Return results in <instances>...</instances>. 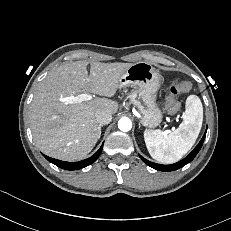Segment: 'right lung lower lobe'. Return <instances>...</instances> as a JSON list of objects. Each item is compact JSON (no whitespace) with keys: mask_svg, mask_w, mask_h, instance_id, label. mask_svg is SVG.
<instances>
[{"mask_svg":"<svg viewBox=\"0 0 231 231\" xmlns=\"http://www.w3.org/2000/svg\"><path fill=\"white\" fill-rule=\"evenodd\" d=\"M102 148H103V144L100 147V149L94 155H92L91 157H89V158H87L85 160L79 161V162H66V161H61V160H57V159H54V158H50L48 156H45V158L49 162L55 164L56 166H58V167H60L62 169H65V170H78V169H82V168L92 164L99 157V155L101 154Z\"/></svg>","mask_w":231,"mask_h":231,"instance_id":"right-lung-lower-lobe-1","label":"right lung lower lobe"}]
</instances>
